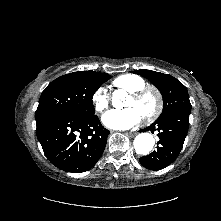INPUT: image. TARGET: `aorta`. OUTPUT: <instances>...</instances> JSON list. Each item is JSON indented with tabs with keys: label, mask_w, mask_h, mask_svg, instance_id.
Wrapping results in <instances>:
<instances>
[{
	"label": "aorta",
	"mask_w": 221,
	"mask_h": 221,
	"mask_svg": "<svg viewBox=\"0 0 221 221\" xmlns=\"http://www.w3.org/2000/svg\"><path fill=\"white\" fill-rule=\"evenodd\" d=\"M125 92L123 90H116L113 93L112 102L114 105H119L120 99L123 98ZM155 144L154 137L149 133H141L134 139V148L137 154L147 155L153 149Z\"/></svg>",
	"instance_id": "1"
}]
</instances>
